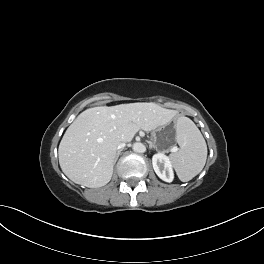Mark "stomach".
I'll return each mask as SVG.
<instances>
[{
    "mask_svg": "<svg viewBox=\"0 0 264 264\" xmlns=\"http://www.w3.org/2000/svg\"><path fill=\"white\" fill-rule=\"evenodd\" d=\"M177 127L173 123H165L152 132V140L159 149H167L175 144Z\"/></svg>",
    "mask_w": 264,
    "mask_h": 264,
    "instance_id": "stomach-1",
    "label": "stomach"
}]
</instances>
